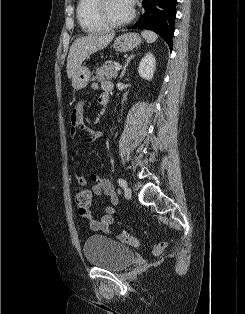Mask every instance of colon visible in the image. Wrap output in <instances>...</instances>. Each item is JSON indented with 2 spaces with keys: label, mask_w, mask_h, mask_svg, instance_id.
Here are the masks:
<instances>
[{
  "label": "colon",
  "mask_w": 245,
  "mask_h": 314,
  "mask_svg": "<svg viewBox=\"0 0 245 314\" xmlns=\"http://www.w3.org/2000/svg\"><path fill=\"white\" fill-rule=\"evenodd\" d=\"M75 203L80 214H85L89 211L91 204V192L81 190L75 196ZM117 240L129 244L133 247L139 246V240L128 232H121L117 235ZM165 248L164 242H159L154 245L152 252L154 255H160Z\"/></svg>",
  "instance_id": "obj_1"
}]
</instances>
